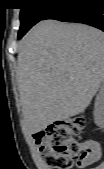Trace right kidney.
Here are the masks:
<instances>
[{"mask_svg": "<svg viewBox=\"0 0 104 169\" xmlns=\"http://www.w3.org/2000/svg\"><path fill=\"white\" fill-rule=\"evenodd\" d=\"M94 122L97 126H103L104 124V87L100 88L99 93L96 96L94 104Z\"/></svg>", "mask_w": 104, "mask_h": 169, "instance_id": "ca27d5eb", "label": "right kidney"}]
</instances>
